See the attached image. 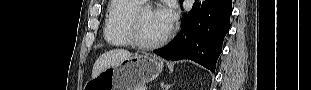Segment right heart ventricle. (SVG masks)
Returning a JSON list of instances; mask_svg holds the SVG:
<instances>
[{"label": "right heart ventricle", "instance_id": "1", "mask_svg": "<svg viewBox=\"0 0 311 90\" xmlns=\"http://www.w3.org/2000/svg\"><path fill=\"white\" fill-rule=\"evenodd\" d=\"M144 2L140 0H113L108 6L104 23V38L112 46H133L129 20L132 13Z\"/></svg>", "mask_w": 311, "mask_h": 90}]
</instances>
